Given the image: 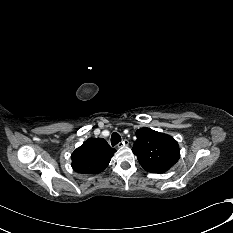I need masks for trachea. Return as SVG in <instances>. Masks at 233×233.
<instances>
[{
    "mask_svg": "<svg viewBox=\"0 0 233 233\" xmlns=\"http://www.w3.org/2000/svg\"><path fill=\"white\" fill-rule=\"evenodd\" d=\"M121 141V137L118 133L114 132L111 136V145L115 146Z\"/></svg>",
    "mask_w": 233,
    "mask_h": 233,
    "instance_id": "3493384b",
    "label": "trachea"
}]
</instances>
